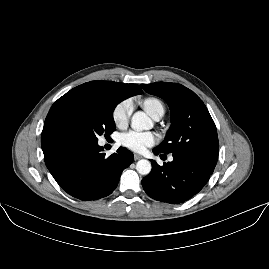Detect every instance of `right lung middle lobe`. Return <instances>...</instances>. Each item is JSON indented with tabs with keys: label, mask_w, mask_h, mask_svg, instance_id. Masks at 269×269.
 Returning <instances> with one entry per match:
<instances>
[{
	"label": "right lung middle lobe",
	"mask_w": 269,
	"mask_h": 269,
	"mask_svg": "<svg viewBox=\"0 0 269 269\" xmlns=\"http://www.w3.org/2000/svg\"><path fill=\"white\" fill-rule=\"evenodd\" d=\"M118 102L80 95L59 98L51 107L44 126H60L81 140L97 142L98 135L116 130L113 111Z\"/></svg>",
	"instance_id": "obj_1"
}]
</instances>
